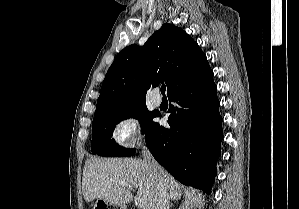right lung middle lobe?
<instances>
[{
	"mask_svg": "<svg viewBox=\"0 0 299 209\" xmlns=\"http://www.w3.org/2000/svg\"><path fill=\"white\" fill-rule=\"evenodd\" d=\"M128 117L138 119L143 133H146L156 114L148 111L145 104H139L95 115L92 123L91 151L93 154L131 156L134 153V149H125L111 140L116 124Z\"/></svg>",
	"mask_w": 299,
	"mask_h": 209,
	"instance_id": "1",
	"label": "right lung middle lobe"
}]
</instances>
